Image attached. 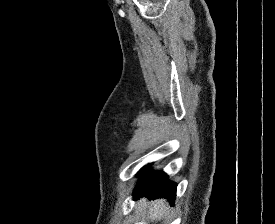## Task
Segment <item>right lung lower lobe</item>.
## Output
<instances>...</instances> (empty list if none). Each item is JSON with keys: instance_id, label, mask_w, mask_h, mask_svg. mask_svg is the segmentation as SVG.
<instances>
[{"instance_id": "right-lung-lower-lobe-1", "label": "right lung lower lobe", "mask_w": 275, "mask_h": 224, "mask_svg": "<svg viewBox=\"0 0 275 224\" xmlns=\"http://www.w3.org/2000/svg\"><path fill=\"white\" fill-rule=\"evenodd\" d=\"M149 167L150 165H147L139 171L144 177L139 180L134 190V198L140 196H147L149 199L166 198L173 204L177 185L170 182L164 172L149 171Z\"/></svg>"}]
</instances>
